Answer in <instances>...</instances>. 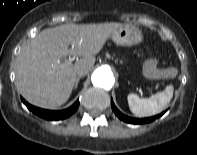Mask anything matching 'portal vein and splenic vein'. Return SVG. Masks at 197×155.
I'll return each mask as SVG.
<instances>
[{
  "label": "portal vein and splenic vein",
  "instance_id": "portal-vein-and-splenic-vein-1",
  "mask_svg": "<svg viewBox=\"0 0 197 155\" xmlns=\"http://www.w3.org/2000/svg\"><path fill=\"white\" fill-rule=\"evenodd\" d=\"M69 63H71V60L70 59L66 61V64H69Z\"/></svg>",
  "mask_w": 197,
  "mask_h": 155
}]
</instances>
